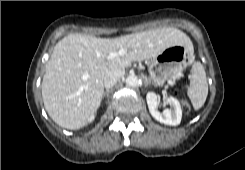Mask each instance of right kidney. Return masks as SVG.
Segmentation results:
<instances>
[{
  "label": "right kidney",
  "mask_w": 245,
  "mask_h": 170,
  "mask_svg": "<svg viewBox=\"0 0 245 170\" xmlns=\"http://www.w3.org/2000/svg\"><path fill=\"white\" fill-rule=\"evenodd\" d=\"M93 119H94V116H93V117H91V118L89 119V121H88V122H91Z\"/></svg>",
  "instance_id": "obj_1"
}]
</instances>
